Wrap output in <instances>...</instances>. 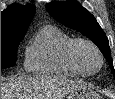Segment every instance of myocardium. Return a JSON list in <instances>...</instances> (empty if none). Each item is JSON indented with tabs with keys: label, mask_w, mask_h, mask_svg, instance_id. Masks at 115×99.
<instances>
[{
	"label": "myocardium",
	"mask_w": 115,
	"mask_h": 99,
	"mask_svg": "<svg viewBox=\"0 0 115 99\" xmlns=\"http://www.w3.org/2000/svg\"><path fill=\"white\" fill-rule=\"evenodd\" d=\"M82 44L91 47L99 57L100 64H99V67L95 71L87 70L80 63V61L78 59L77 48L79 45H82ZM66 56H67V59L70 62V64L78 72H80L82 75H86V76H92V75L97 74L102 69L103 64H104V57H103V54H102L101 50L99 49V47L93 41L86 39V38H73L66 48Z\"/></svg>",
	"instance_id": "obj_1"
}]
</instances>
